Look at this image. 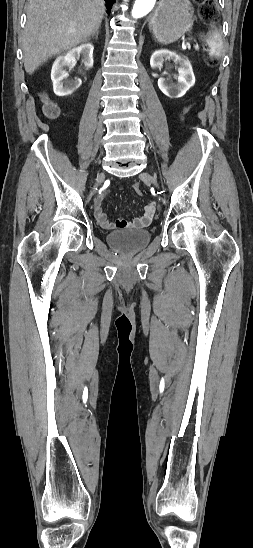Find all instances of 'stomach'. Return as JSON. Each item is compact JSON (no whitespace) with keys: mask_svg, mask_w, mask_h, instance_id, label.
Masks as SVG:
<instances>
[{"mask_svg":"<svg viewBox=\"0 0 253 548\" xmlns=\"http://www.w3.org/2000/svg\"><path fill=\"white\" fill-rule=\"evenodd\" d=\"M193 14L189 0H161L150 19L149 28L158 42L169 44L191 29Z\"/></svg>","mask_w":253,"mask_h":548,"instance_id":"obj_1","label":"stomach"}]
</instances>
